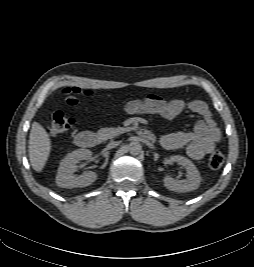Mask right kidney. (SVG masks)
Masks as SVG:
<instances>
[{"mask_svg":"<svg viewBox=\"0 0 254 267\" xmlns=\"http://www.w3.org/2000/svg\"><path fill=\"white\" fill-rule=\"evenodd\" d=\"M92 152L88 149H78L69 154L61 161L56 175V184L62 188L85 187L97 179V173L87 172L75 176L76 163L81 160H89Z\"/></svg>","mask_w":254,"mask_h":267,"instance_id":"obj_1","label":"right kidney"}]
</instances>
